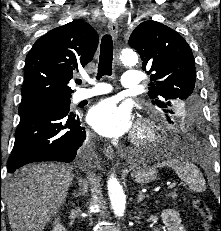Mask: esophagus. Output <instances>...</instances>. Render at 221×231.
<instances>
[{
    "instance_id": "obj_1",
    "label": "esophagus",
    "mask_w": 221,
    "mask_h": 231,
    "mask_svg": "<svg viewBox=\"0 0 221 231\" xmlns=\"http://www.w3.org/2000/svg\"><path fill=\"white\" fill-rule=\"evenodd\" d=\"M108 29H109V32H110L111 36L113 37V39L116 40L117 36H118V23H117V21L116 20L109 21ZM104 155L109 160L114 159L115 152L110 145H107V144L104 145Z\"/></svg>"
}]
</instances>
